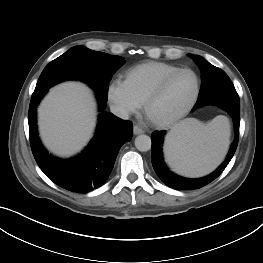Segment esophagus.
I'll use <instances>...</instances> for the list:
<instances>
[{
	"mask_svg": "<svg viewBox=\"0 0 263 263\" xmlns=\"http://www.w3.org/2000/svg\"><path fill=\"white\" fill-rule=\"evenodd\" d=\"M133 132L135 135H139V134L144 133V130L141 127H139L138 125H135L133 127Z\"/></svg>",
	"mask_w": 263,
	"mask_h": 263,
	"instance_id": "1",
	"label": "esophagus"
}]
</instances>
